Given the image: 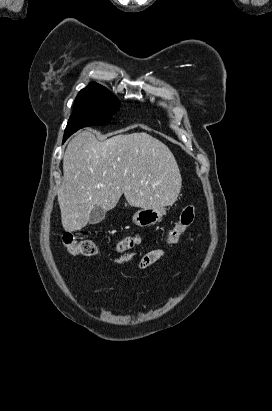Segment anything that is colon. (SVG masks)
I'll return each instance as SVG.
<instances>
[{
	"label": "colon",
	"mask_w": 272,
	"mask_h": 411,
	"mask_svg": "<svg viewBox=\"0 0 272 411\" xmlns=\"http://www.w3.org/2000/svg\"><path fill=\"white\" fill-rule=\"evenodd\" d=\"M196 217V208L193 205H187L183 208L178 221L167 235V242L177 243L181 236L191 227ZM62 242L66 250L73 255H82L91 257L96 254L97 246L95 242L88 238H78L72 232L62 234ZM129 256H124L120 261L125 262Z\"/></svg>",
	"instance_id": "1"
}]
</instances>
